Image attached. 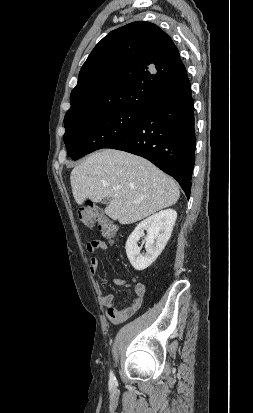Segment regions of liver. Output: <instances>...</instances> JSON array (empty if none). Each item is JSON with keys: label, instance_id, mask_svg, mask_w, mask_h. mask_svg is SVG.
I'll use <instances>...</instances> for the list:
<instances>
[{"label": "liver", "instance_id": "6515ba94", "mask_svg": "<svg viewBox=\"0 0 253 413\" xmlns=\"http://www.w3.org/2000/svg\"><path fill=\"white\" fill-rule=\"evenodd\" d=\"M70 181L78 205L110 199L105 213L123 225L174 205L180 196L173 178L151 162L114 149L89 155L71 171Z\"/></svg>", "mask_w": 253, "mask_h": 413}]
</instances>
